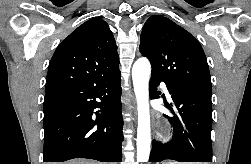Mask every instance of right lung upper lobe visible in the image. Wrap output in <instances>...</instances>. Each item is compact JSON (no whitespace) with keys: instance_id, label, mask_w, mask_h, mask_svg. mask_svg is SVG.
<instances>
[{"instance_id":"cb5924a9","label":"right lung upper lobe","mask_w":251,"mask_h":164,"mask_svg":"<svg viewBox=\"0 0 251 164\" xmlns=\"http://www.w3.org/2000/svg\"><path fill=\"white\" fill-rule=\"evenodd\" d=\"M119 67L114 36L101 18H92L67 36L51 58L45 92L109 73Z\"/></svg>"}]
</instances>
